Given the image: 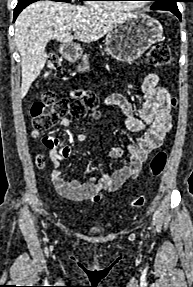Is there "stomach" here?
<instances>
[{
	"label": "stomach",
	"instance_id": "stomach-1",
	"mask_svg": "<svg viewBox=\"0 0 193 287\" xmlns=\"http://www.w3.org/2000/svg\"><path fill=\"white\" fill-rule=\"evenodd\" d=\"M163 38L161 23L146 15L137 14L126 19L106 35V51L113 58L121 62H132L138 59L148 48ZM67 59L82 57V65L78 72L89 71L88 56L82 55L80 49L63 51Z\"/></svg>",
	"mask_w": 193,
	"mask_h": 287
}]
</instances>
